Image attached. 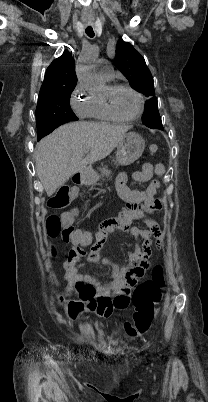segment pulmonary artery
<instances>
[{
    "instance_id": "1",
    "label": "pulmonary artery",
    "mask_w": 208,
    "mask_h": 402,
    "mask_svg": "<svg viewBox=\"0 0 208 402\" xmlns=\"http://www.w3.org/2000/svg\"><path fill=\"white\" fill-rule=\"evenodd\" d=\"M82 55L88 56L87 54H82ZM93 68H94L97 72H99L100 76H101L102 78H104L105 80H110V79L113 78V74H112V72H111V70H110V68H109V62H108V60L103 59V58L97 59V60L94 62Z\"/></svg>"
}]
</instances>
